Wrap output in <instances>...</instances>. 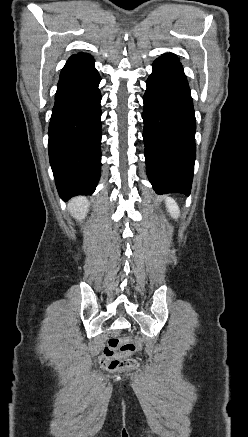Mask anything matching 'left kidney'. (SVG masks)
<instances>
[{
	"mask_svg": "<svg viewBox=\"0 0 248 437\" xmlns=\"http://www.w3.org/2000/svg\"><path fill=\"white\" fill-rule=\"evenodd\" d=\"M166 207L168 208V212L171 214L173 218H178L180 214V210L176 204V202L172 198H166Z\"/></svg>",
	"mask_w": 248,
	"mask_h": 437,
	"instance_id": "obj_1",
	"label": "left kidney"
}]
</instances>
